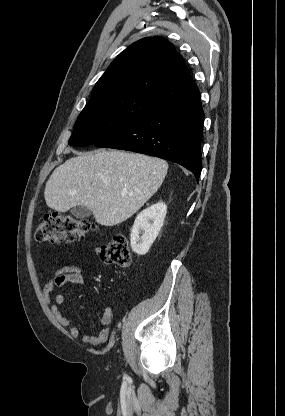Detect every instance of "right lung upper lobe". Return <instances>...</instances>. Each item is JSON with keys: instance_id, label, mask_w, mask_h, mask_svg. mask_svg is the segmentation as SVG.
<instances>
[{"instance_id": "1", "label": "right lung upper lobe", "mask_w": 285, "mask_h": 416, "mask_svg": "<svg viewBox=\"0 0 285 416\" xmlns=\"http://www.w3.org/2000/svg\"><path fill=\"white\" fill-rule=\"evenodd\" d=\"M199 94L182 57L161 37L141 39L122 51L95 84L85 107L138 96L161 107Z\"/></svg>"}]
</instances>
